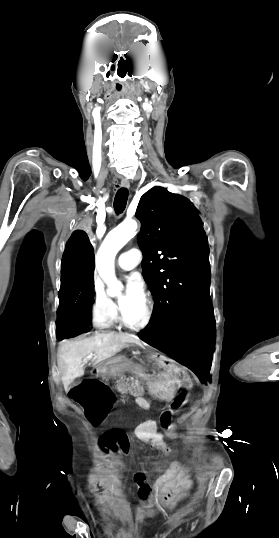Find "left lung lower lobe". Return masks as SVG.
Masks as SVG:
<instances>
[{
    "label": "left lung lower lobe",
    "instance_id": "left-lung-lower-lobe-1",
    "mask_svg": "<svg viewBox=\"0 0 279 538\" xmlns=\"http://www.w3.org/2000/svg\"><path fill=\"white\" fill-rule=\"evenodd\" d=\"M138 336L205 380L210 371L215 343V319L210 294L187 305L167 328L158 332L144 329Z\"/></svg>",
    "mask_w": 279,
    "mask_h": 538
}]
</instances>
